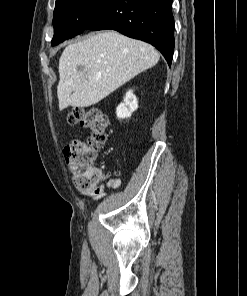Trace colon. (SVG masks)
<instances>
[{"label":"colon","mask_w":247,"mask_h":296,"mask_svg":"<svg viewBox=\"0 0 247 296\" xmlns=\"http://www.w3.org/2000/svg\"><path fill=\"white\" fill-rule=\"evenodd\" d=\"M71 125H80L90 130L84 140H74L64 150L75 186L80 190H91L103 180L102 169L95 164L101 147L107 141L106 116L95 108H76L68 116Z\"/></svg>","instance_id":"5ec220e1"}]
</instances>
